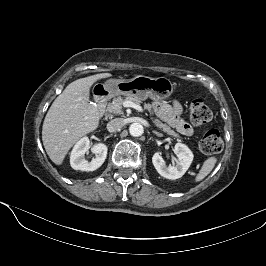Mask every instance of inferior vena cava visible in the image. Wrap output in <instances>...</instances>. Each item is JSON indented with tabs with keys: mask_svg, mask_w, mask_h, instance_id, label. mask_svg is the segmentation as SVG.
<instances>
[{
	"mask_svg": "<svg viewBox=\"0 0 266 266\" xmlns=\"http://www.w3.org/2000/svg\"><path fill=\"white\" fill-rule=\"evenodd\" d=\"M125 125L123 118H115L107 123V130L109 132L119 131Z\"/></svg>",
	"mask_w": 266,
	"mask_h": 266,
	"instance_id": "inferior-vena-cava-1",
	"label": "inferior vena cava"
}]
</instances>
